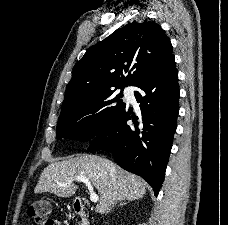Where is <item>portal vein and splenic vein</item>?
Here are the masks:
<instances>
[{
  "label": "portal vein and splenic vein",
  "mask_w": 228,
  "mask_h": 225,
  "mask_svg": "<svg viewBox=\"0 0 228 225\" xmlns=\"http://www.w3.org/2000/svg\"><path fill=\"white\" fill-rule=\"evenodd\" d=\"M74 181H79V183H85L87 192L90 196V201H92V203H97V201H99V197L98 195H96L93 184L90 183L87 177H74Z\"/></svg>",
  "instance_id": "obj_1"
}]
</instances>
